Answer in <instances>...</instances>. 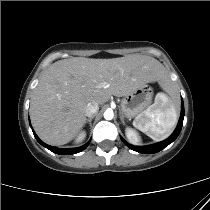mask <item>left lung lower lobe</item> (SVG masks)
Here are the masks:
<instances>
[{"label": "left lung lower lobe", "mask_w": 210, "mask_h": 210, "mask_svg": "<svg viewBox=\"0 0 210 210\" xmlns=\"http://www.w3.org/2000/svg\"><path fill=\"white\" fill-rule=\"evenodd\" d=\"M183 119H184V104L182 101L181 104V116L179 119V123L178 126L176 128V130L174 131V133L165 141L153 144V145H149V146H144V147H138V146H133L128 144L127 142H125L123 139V142L132 150L137 151L139 153H145V154H152V153H156L161 151L162 149H164L166 146H168L170 143H172L177 136L179 135L181 129H182V125H183Z\"/></svg>", "instance_id": "obj_1"}]
</instances>
